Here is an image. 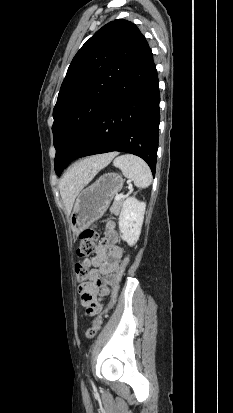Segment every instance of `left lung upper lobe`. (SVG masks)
Here are the masks:
<instances>
[{
  "label": "left lung upper lobe",
  "instance_id": "5c2ea615",
  "mask_svg": "<svg viewBox=\"0 0 233 413\" xmlns=\"http://www.w3.org/2000/svg\"><path fill=\"white\" fill-rule=\"evenodd\" d=\"M144 40L135 24L114 20L87 40L73 58L53 110L57 175L73 160Z\"/></svg>",
  "mask_w": 233,
  "mask_h": 413
}]
</instances>
